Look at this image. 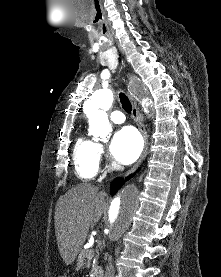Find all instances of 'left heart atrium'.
Here are the masks:
<instances>
[{"label": "left heart atrium", "mask_w": 221, "mask_h": 277, "mask_svg": "<svg viewBox=\"0 0 221 277\" xmlns=\"http://www.w3.org/2000/svg\"><path fill=\"white\" fill-rule=\"evenodd\" d=\"M143 143L138 132L132 127L117 131L110 144L112 157L123 164L134 162L142 151Z\"/></svg>", "instance_id": "1"}]
</instances>
